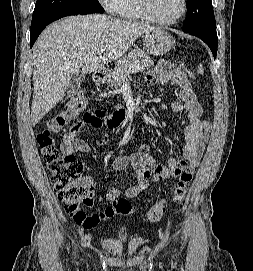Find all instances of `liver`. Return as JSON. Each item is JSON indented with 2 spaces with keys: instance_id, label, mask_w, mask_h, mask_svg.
Listing matches in <instances>:
<instances>
[{
  "instance_id": "obj_1",
  "label": "liver",
  "mask_w": 253,
  "mask_h": 271,
  "mask_svg": "<svg viewBox=\"0 0 253 271\" xmlns=\"http://www.w3.org/2000/svg\"><path fill=\"white\" fill-rule=\"evenodd\" d=\"M156 29L101 14L71 16L49 25L33 47L32 125L63 99L80 69L84 74L99 71L124 55L143 33ZM101 48L104 53L96 56Z\"/></svg>"
}]
</instances>
